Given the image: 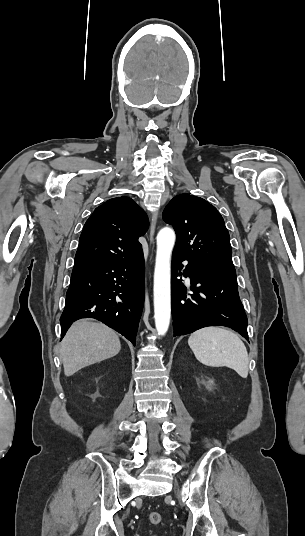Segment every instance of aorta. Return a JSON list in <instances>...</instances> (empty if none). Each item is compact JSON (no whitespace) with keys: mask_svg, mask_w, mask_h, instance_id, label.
<instances>
[{"mask_svg":"<svg viewBox=\"0 0 305 536\" xmlns=\"http://www.w3.org/2000/svg\"><path fill=\"white\" fill-rule=\"evenodd\" d=\"M175 232L162 228L157 235V251L154 270V318L159 335H165L171 318V254L175 244Z\"/></svg>","mask_w":305,"mask_h":536,"instance_id":"obj_1","label":"aorta"}]
</instances>
